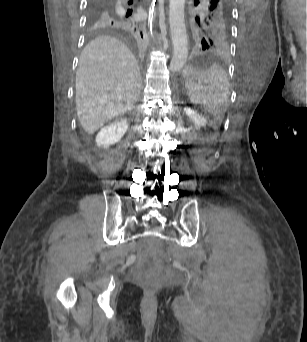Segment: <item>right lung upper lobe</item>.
I'll return each instance as SVG.
<instances>
[{"mask_svg": "<svg viewBox=\"0 0 307 342\" xmlns=\"http://www.w3.org/2000/svg\"><path fill=\"white\" fill-rule=\"evenodd\" d=\"M87 26L91 33L143 39L146 22L140 0H90Z\"/></svg>", "mask_w": 307, "mask_h": 342, "instance_id": "obj_1", "label": "right lung upper lobe"}]
</instances>
